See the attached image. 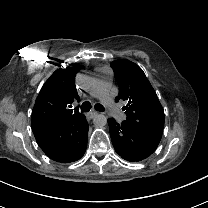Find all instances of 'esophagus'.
I'll return each instance as SVG.
<instances>
[{
	"label": "esophagus",
	"instance_id": "1",
	"mask_svg": "<svg viewBox=\"0 0 208 208\" xmlns=\"http://www.w3.org/2000/svg\"><path fill=\"white\" fill-rule=\"evenodd\" d=\"M96 115H97V112H96V111H91V112H89V113L86 115V118H87L88 120H90V119H93Z\"/></svg>",
	"mask_w": 208,
	"mask_h": 208
}]
</instances>
